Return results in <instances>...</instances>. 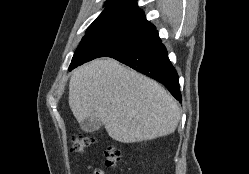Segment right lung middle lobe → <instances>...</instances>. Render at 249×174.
<instances>
[{"label": "right lung middle lobe", "mask_w": 249, "mask_h": 174, "mask_svg": "<svg viewBox=\"0 0 249 174\" xmlns=\"http://www.w3.org/2000/svg\"><path fill=\"white\" fill-rule=\"evenodd\" d=\"M151 28L136 25H119L86 31L72 58L69 70L98 57L112 56L143 43Z\"/></svg>", "instance_id": "obj_1"}]
</instances>
